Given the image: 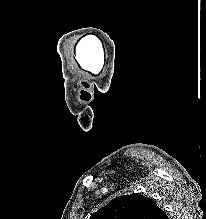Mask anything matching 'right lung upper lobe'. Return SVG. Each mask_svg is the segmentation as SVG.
Masks as SVG:
<instances>
[{
    "label": "right lung upper lobe",
    "instance_id": "cb5924a9",
    "mask_svg": "<svg viewBox=\"0 0 206 219\" xmlns=\"http://www.w3.org/2000/svg\"><path fill=\"white\" fill-rule=\"evenodd\" d=\"M90 219H169L150 198L142 195H124L112 199L95 212Z\"/></svg>",
    "mask_w": 206,
    "mask_h": 219
}]
</instances>
